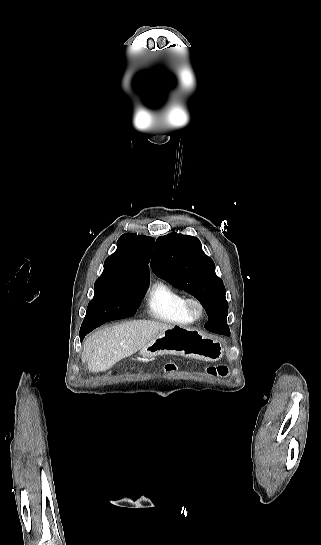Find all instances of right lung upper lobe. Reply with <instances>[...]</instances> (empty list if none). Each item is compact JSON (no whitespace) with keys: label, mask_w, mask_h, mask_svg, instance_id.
<instances>
[{"label":"right lung upper lobe","mask_w":321,"mask_h":545,"mask_svg":"<svg viewBox=\"0 0 321 545\" xmlns=\"http://www.w3.org/2000/svg\"><path fill=\"white\" fill-rule=\"evenodd\" d=\"M155 240L144 235L123 234L117 250L104 263L101 275L113 285L135 287L149 285V259Z\"/></svg>","instance_id":"cb5924a9"}]
</instances>
